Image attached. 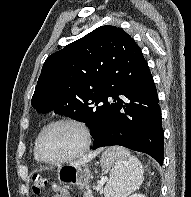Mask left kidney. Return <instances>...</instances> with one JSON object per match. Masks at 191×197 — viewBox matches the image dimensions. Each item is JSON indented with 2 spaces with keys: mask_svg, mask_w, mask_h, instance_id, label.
<instances>
[{
  "mask_svg": "<svg viewBox=\"0 0 191 197\" xmlns=\"http://www.w3.org/2000/svg\"><path fill=\"white\" fill-rule=\"evenodd\" d=\"M129 197H146L144 194H140V193H135V194H132L131 196Z\"/></svg>",
  "mask_w": 191,
  "mask_h": 197,
  "instance_id": "1",
  "label": "left kidney"
}]
</instances>
